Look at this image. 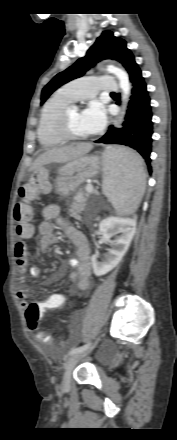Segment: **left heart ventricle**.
Here are the masks:
<instances>
[{"instance_id":"b2bd125f","label":"left heart ventricle","mask_w":177,"mask_h":440,"mask_svg":"<svg viewBox=\"0 0 177 440\" xmlns=\"http://www.w3.org/2000/svg\"><path fill=\"white\" fill-rule=\"evenodd\" d=\"M69 126L72 133L79 136L88 135L81 123V113L77 108H71L69 111Z\"/></svg>"}]
</instances>
